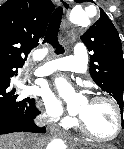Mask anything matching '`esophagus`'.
<instances>
[{"label":"esophagus","mask_w":124,"mask_h":149,"mask_svg":"<svg viewBox=\"0 0 124 149\" xmlns=\"http://www.w3.org/2000/svg\"><path fill=\"white\" fill-rule=\"evenodd\" d=\"M59 5L63 8L64 12H65V16L67 17L70 11V4L67 0H58ZM66 26V23H64V27ZM73 39V35L71 36V38L69 40ZM49 129L51 133H58L59 132V128L56 127L55 125L51 124L49 125Z\"/></svg>","instance_id":"34e87169"}]
</instances>
